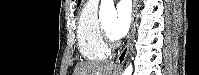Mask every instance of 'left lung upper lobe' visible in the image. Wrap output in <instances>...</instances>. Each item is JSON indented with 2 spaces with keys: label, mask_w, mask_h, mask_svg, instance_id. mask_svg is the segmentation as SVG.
Masks as SVG:
<instances>
[{
  "label": "left lung upper lobe",
  "mask_w": 199,
  "mask_h": 75,
  "mask_svg": "<svg viewBox=\"0 0 199 75\" xmlns=\"http://www.w3.org/2000/svg\"><path fill=\"white\" fill-rule=\"evenodd\" d=\"M80 1H81V0H78V5H79Z\"/></svg>",
  "instance_id": "left-lung-upper-lobe-1"
}]
</instances>
